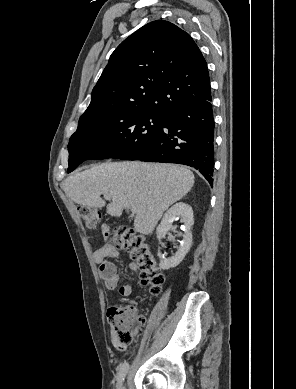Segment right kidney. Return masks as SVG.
Segmentation results:
<instances>
[{
	"label": "right kidney",
	"instance_id": "obj_1",
	"mask_svg": "<svg viewBox=\"0 0 296 389\" xmlns=\"http://www.w3.org/2000/svg\"><path fill=\"white\" fill-rule=\"evenodd\" d=\"M179 219L183 223L181 227L184 231V233L181 234L183 239L174 256L161 260L159 266L163 270H169L170 268L178 266L192 245L191 227L194 224L193 210L190 205L183 202L176 203L164 214L162 221L156 230L157 238L159 241L164 238L169 230L174 229L172 223Z\"/></svg>",
	"mask_w": 296,
	"mask_h": 389
}]
</instances>
